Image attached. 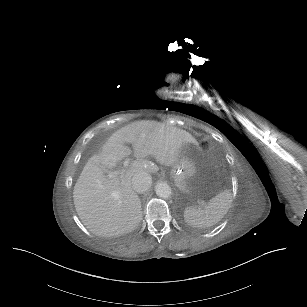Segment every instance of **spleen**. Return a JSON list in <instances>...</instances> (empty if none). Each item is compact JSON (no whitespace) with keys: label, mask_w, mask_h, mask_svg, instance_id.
<instances>
[{"label":"spleen","mask_w":307,"mask_h":307,"mask_svg":"<svg viewBox=\"0 0 307 307\" xmlns=\"http://www.w3.org/2000/svg\"><path fill=\"white\" fill-rule=\"evenodd\" d=\"M232 203V194L223 190L211 198L209 202L196 210L187 208L183 217L188 224L197 227H210L218 223L228 212Z\"/></svg>","instance_id":"1"}]
</instances>
